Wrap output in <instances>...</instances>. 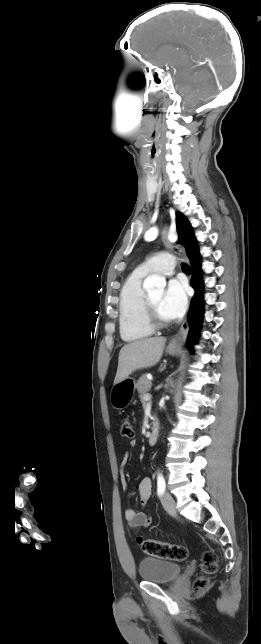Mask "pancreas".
Wrapping results in <instances>:
<instances>
[{
	"label": "pancreas",
	"mask_w": 261,
	"mask_h": 644,
	"mask_svg": "<svg viewBox=\"0 0 261 644\" xmlns=\"http://www.w3.org/2000/svg\"><path fill=\"white\" fill-rule=\"evenodd\" d=\"M136 388L138 390L139 397H140L141 401L144 402V396L151 389V382L147 379L146 375H142L139 378V380H138V382L136 384Z\"/></svg>",
	"instance_id": "cf45deb5"
}]
</instances>
